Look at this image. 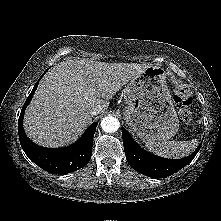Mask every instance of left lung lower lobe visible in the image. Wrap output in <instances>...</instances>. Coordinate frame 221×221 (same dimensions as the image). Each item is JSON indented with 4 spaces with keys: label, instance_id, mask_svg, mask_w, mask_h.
<instances>
[{
    "label": "left lung lower lobe",
    "instance_id": "obj_1",
    "mask_svg": "<svg viewBox=\"0 0 221 221\" xmlns=\"http://www.w3.org/2000/svg\"><path fill=\"white\" fill-rule=\"evenodd\" d=\"M122 137L129 165L137 172L153 178L167 177L185 167L196 156L202 144L188 157L183 159H166L150 154L140 148L124 128H122Z\"/></svg>",
    "mask_w": 221,
    "mask_h": 221
}]
</instances>
